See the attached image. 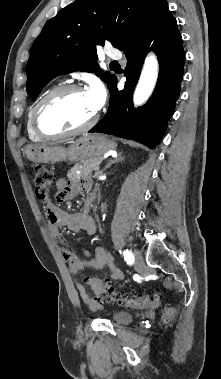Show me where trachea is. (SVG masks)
<instances>
[{
	"label": "trachea",
	"instance_id": "3493384b",
	"mask_svg": "<svg viewBox=\"0 0 221 379\" xmlns=\"http://www.w3.org/2000/svg\"><path fill=\"white\" fill-rule=\"evenodd\" d=\"M111 64H118L116 61L111 62Z\"/></svg>",
	"mask_w": 221,
	"mask_h": 379
}]
</instances>
